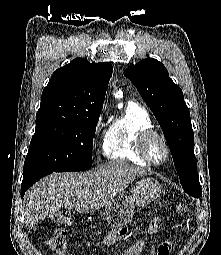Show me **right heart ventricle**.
Listing matches in <instances>:
<instances>
[{"label":"right heart ventricle","mask_w":221,"mask_h":255,"mask_svg":"<svg viewBox=\"0 0 221 255\" xmlns=\"http://www.w3.org/2000/svg\"><path fill=\"white\" fill-rule=\"evenodd\" d=\"M148 129H153L148 111L135 102L129 103L124 111L111 119L103 137V155L109 160L150 165L141 157L136 145L138 135Z\"/></svg>","instance_id":"right-heart-ventricle-1"}]
</instances>
